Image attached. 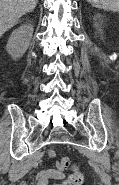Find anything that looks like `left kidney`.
I'll return each instance as SVG.
<instances>
[{
	"label": "left kidney",
	"mask_w": 119,
	"mask_h": 185,
	"mask_svg": "<svg viewBox=\"0 0 119 185\" xmlns=\"http://www.w3.org/2000/svg\"><path fill=\"white\" fill-rule=\"evenodd\" d=\"M97 18L100 19V18H101V15H100V14H97V15L94 16V20H95V21L97 20ZM95 26H96V27L99 29V31L101 32V29L99 28V24H98L97 22H95Z\"/></svg>",
	"instance_id": "obj_1"
}]
</instances>
